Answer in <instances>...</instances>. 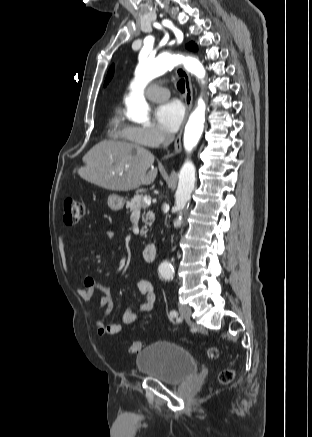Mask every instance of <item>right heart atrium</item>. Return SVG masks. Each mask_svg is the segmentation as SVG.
I'll return each mask as SVG.
<instances>
[{
  "label": "right heart atrium",
  "instance_id": "obj_1",
  "mask_svg": "<svg viewBox=\"0 0 312 437\" xmlns=\"http://www.w3.org/2000/svg\"><path fill=\"white\" fill-rule=\"evenodd\" d=\"M127 136L133 142L147 147H156L168 140L167 136L155 126H129Z\"/></svg>",
  "mask_w": 312,
  "mask_h": 437
}]
</instances>
